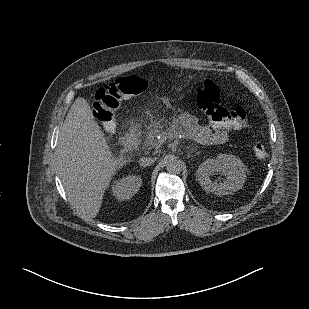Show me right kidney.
Returning <instances> with one entry per match:
<instances>
[{"mask_svg":"<svg viewBox=\"0 0 309 309\" xmlns=\"http://www.w3.org/2000/svg\"><path fill=\"white\" fill-rule=\"evenodd\" d=\"M142 185L140 176L127 175L114 180L111 191L112 194L120 201L130 199L134 196Z\"/></svg>","mask_w":309,"mask_h":309,"instance_id":"right-kidney-1","label":"right kidney"}]
</instances>
